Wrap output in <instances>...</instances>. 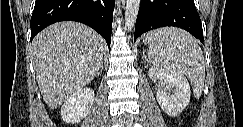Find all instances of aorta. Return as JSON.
I'll return each mask as SVG.
<instances>
[{"label":"aorta","instance_id":"762f6f07","mask_svg":"<svg viewBox=\"0 0 243 127\" xmlns=\"http://www.w3.org/2000/svg\"><path fill=\"white\" fill-rule=\"evenodd\" d=\"M140 7V0H126L125 7V27L130 31L136 22Z\"/></svg>","mask_w":243,"mask_h":127}]
</instances>
